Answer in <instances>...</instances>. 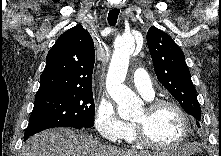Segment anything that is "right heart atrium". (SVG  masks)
<instances>
[{
    "label": "right heart atrium",
    "mask_w": 221,
    "mask_h": 156,
    "mask_svg": "<svg viewBox=\"0 0 221 156\" xmlns=\"http://www.w3.org/2000/svg\"><path fill=\"white\" fill-rule=\"evenodd\" d=\"M94 125L97 132L111 142L125 139L129 131V124L118 116L114 103L106 95H100L96 101Z\"/></svg>",
    "instance_id": "right-heart-atrium-1"
}]
</instances>
